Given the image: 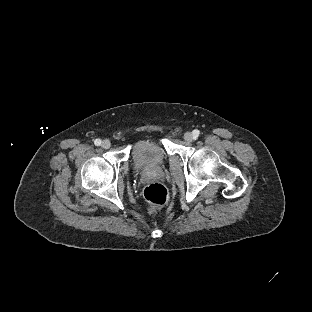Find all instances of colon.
<instances>
[{
  "label": "colon",
  "mask_w": 312,
  "mask_h": 312,
  "mask_svg": "<svg viewBox=\"0 0 312 312\" xmlns=\"http://www.w3.org/2000/svg\"><path fill=\"white\" fill-rule=\"evenodd\" d=\"M145 199L152 205L153 208L164 205L168 199L166 188L159 183H151L144 188Z\"/></svg>",
  "instance_id": "obj_1"
}]
</instances>
